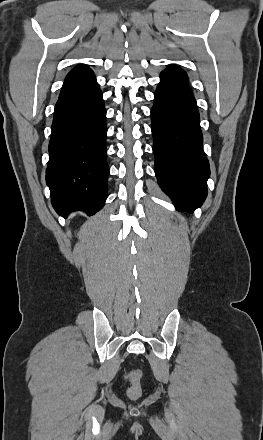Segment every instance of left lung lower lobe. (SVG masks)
I'll list each match as a JSON object with an SVG mask.
<instances>
[{"instance_id":"obj_1","label":"left lung lower lobe","mask_w":263,"mask_h":440,"mask_svg":"<svg viewBox=\"0 0 263 440\" xmlns=\"http://www.w3.org/2000/svg\"><path fill=\"white\" fill-rule=\"evenodd\" d=\"M151 117L158 182L178 211L193 212L207 196L210 169L196 101L178 66L161 73Z\"/></svg>"}]
</instances>
